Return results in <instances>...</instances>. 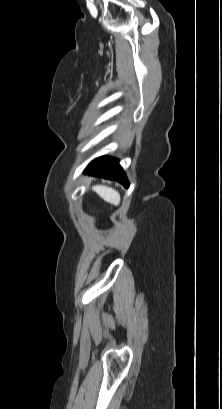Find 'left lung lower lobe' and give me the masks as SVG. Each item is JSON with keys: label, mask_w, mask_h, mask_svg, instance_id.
I'll return each instance as SVG.
<instances>
[{"label": "left lung lower lobe", "mask_w": 222, "mask_h": 409, "mask_svg": "<svg viewBox=\"0 0 222 409\" xmlns=\"http://www.w3.org/2000/svg\"><path fill=\"white\" fill-rule=\"evenodd\" d=\"M85 173L102 177L105 179L116 180L125 187H129L128 180L119 165L118 159L103 156L93 160L84 170Z\"/></svg>", "instance_id": "1"}]
</instances>
